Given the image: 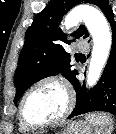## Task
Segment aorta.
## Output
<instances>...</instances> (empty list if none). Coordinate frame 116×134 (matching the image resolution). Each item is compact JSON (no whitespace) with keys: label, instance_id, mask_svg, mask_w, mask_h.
I'll return each instance as SVG.
<instances>
[{"label":"aorta","instance_id":"762f6f07","mask_svg":"<svg viewBox=\"0 0 116 134\" xmlns=\"http://www.w3.org/2000/svg\"><path fill=\"white\" fill-rule=\"evenodd\" d=\"M82 20L93 38V50L87 74V85L92 87L99 80L107 62L112 38L105 16L89 5L74 8L65 18L66 27L75 25Z\"/></svg>","mask_w":116,"mask_h":134}]
</instances>
